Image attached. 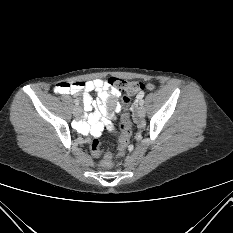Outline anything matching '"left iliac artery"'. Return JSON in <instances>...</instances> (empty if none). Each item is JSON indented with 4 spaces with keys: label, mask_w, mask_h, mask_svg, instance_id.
Returning a JSON list of instances; mask_svg holds the SVG:
<instances>
[{
    "label": "left iliac artery",
    "mask_w": 233,
    "mask_h": 233,
    "mask_svg": "<svg viewBox=\"0 0 233 233\" xmlns=\"http://www.w3.org/2000/svg\"><path fill=\"white\" fill-rule=\"evenodd\" d=\"M143 95H144V94H143ZM143 95L140 96V97H137L138 99H140V102H139L140 105H143V104H144V100L142 99Z\"/></svg>",
    "instance_id": "obj_1"
}]
</instances>
